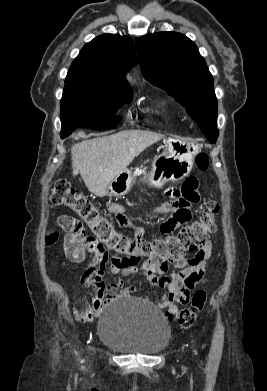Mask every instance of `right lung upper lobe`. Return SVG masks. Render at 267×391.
Wrapping results in <instances>:
<instances>
[{"label":"right lung upper lobe","instance_id":"cb5924a9","mask_svg":"<svg viewBox=\"0 0 267 391\" xmlns=\"http://www.w3.org/2000/svg\"><path fill=\"white\" fill-rule=\"evenodd\" d=\"M134 64L136 55L131 38L103 34L83 47L65 81L90 79L112 89L131 91L124 73Z\"/></svg>","mask_w":267,"mask_h":391}]
</instances>
